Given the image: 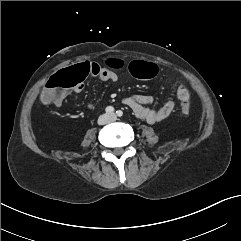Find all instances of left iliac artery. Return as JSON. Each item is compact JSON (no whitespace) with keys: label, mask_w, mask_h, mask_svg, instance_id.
I'll return each mask as SVG.
<instances>
[{"label":"left iliac artery","mask_w":241,"mask_h":241,"mask_svg":"<svg viewBox=\"0 0 241 241\" xmlns=\"http://www.w3.org/2000/svg\"><path fill=\"white\" fill-rule=\"evenodd\" d=\"M116 114L118 117H121L123 115V112L121 110L116 111Z\"/></svg>","instance_id":"44dca946"}]
</instances>
